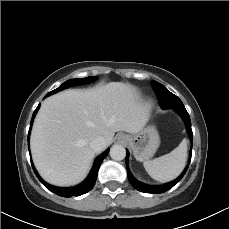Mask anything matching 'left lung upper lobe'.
Masks as SVG:
<instances>
[{
    "label": "left lung upper lobe",
    "mask_w": 229,
    "mask_h": 229,
    "mask_svg": "<svg viewBox=\"0 0 229 229\" xmlns=\"http://www.w3.org/2000/svg\"><path fill=\"white\" fill-rule=\"evenodd\" d=\"M151 85L162 108H176L183 105L181 100L176 95L168 91L162 84L152 81Z\"/></svg>",
    "instance_id": "1"
}]
</instances>
